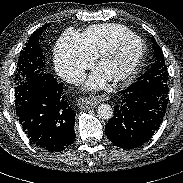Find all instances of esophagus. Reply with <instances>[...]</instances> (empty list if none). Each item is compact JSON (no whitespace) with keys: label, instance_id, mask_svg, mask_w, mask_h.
Listing matches in <instances>:
<instances>
[{"label":"esophagus","instance_id":"esophagus-1","mask_svg":"<svg viewBox=\"0 0 183 183\" xmlns=\"http://www.w3.org/2000/svg\"><path fill=\"white\" fill-rule=\"evenodd\" d=\"M106 96H98L97 98H85L81 97L77 101V106L81 110H88L98 105L101 101L106 100Z\"/></svg>","mask_w":183,"mask_h":183}]
</instances>
